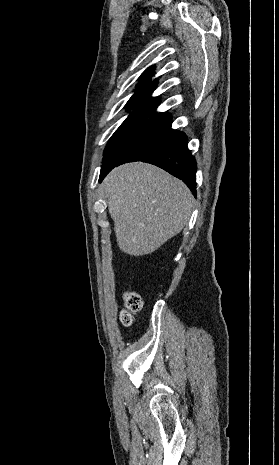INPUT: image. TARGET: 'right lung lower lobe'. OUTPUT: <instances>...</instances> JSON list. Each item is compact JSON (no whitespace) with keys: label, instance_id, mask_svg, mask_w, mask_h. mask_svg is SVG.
I'll use <instances>...</instances> for the list:
<instances>
[{"label":"right lung lower lobe","instance_id":"1","mask_svg":"<svg viewBox=\"0 0 279 465\" xmlns=\"http://www.w3.org/2000/svg\"><path fill=\"white\" fill-rule=\"evenodd\" d=\"M187 143L185 134L181 132L178 141L173 146L161 150L143 160V162L156 165L183 180L194 195H196V160L187 148ZM115 166L118 165L102 167L99 182Z\"/></svg>","mask_w":279,"mask_h":465}]
</instances>
